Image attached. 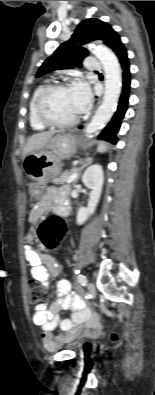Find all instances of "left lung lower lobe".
Instances as JSON below:
<instances>
[{
	"instance_id": "left-lung-lower-lobe-1",
	"label": "left lung lower lobe",
	"mask_w": 155,
	"mask_h": 395,
	"mask_svg": "<svg viewBox=\"0 0 155 395\" xmlns=\"http://www.w3.org/2000/svg\"><path fill=\"white\" fill-rule=\"evenodd\" d=\"M119 62L122 70V93L119 99L117 110L112 120L99 135V139H104L114 144H116L117 142L116 134L119 131L121 121L128 108L130 84H131L130 64L127 54L122 56L119 59Z\"/></svg>"
}]
</instances>
